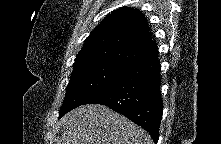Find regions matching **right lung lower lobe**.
<instances>
[{"mask_svg": "<svg viewBox=\"0 0 221 144\" xmlns=\"http://www.w3.org/2000/svg\"><path fill=\"white\" fill-rule=\"evenodd\" d=\"M84 104L108 106L141 126L157 142L163 110L157 49Z\"/></svg>", "mask_w": 221, "mask_h": 144, "instance_id": "obj_1", "label": "right lung lower lobe"}]
</instances>
